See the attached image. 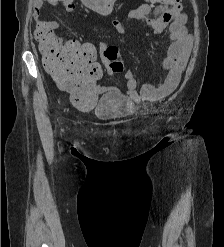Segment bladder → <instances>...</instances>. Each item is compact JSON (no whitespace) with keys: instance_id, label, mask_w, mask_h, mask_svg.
Instances as JSON below:
<instances>
[{"instance_id":"obj_1","label":"bladder","mask_w":224,"mask_h":247,"mask_svg":"<svg viewBox=\"0 0 224 247\" xmlns=\"http://www.w3.org/2000/svg\"><path fill=\"white\" fill-rule=\"evenodd\" d=\"M94 115L102 121H115L123 117L121 100L113 92L104 94L93 110Z\"/></svg>"}]
</instances>
